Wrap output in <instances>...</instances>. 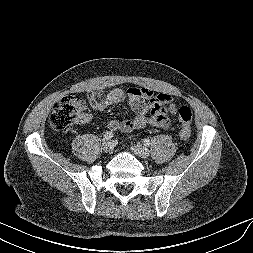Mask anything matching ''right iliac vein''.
<instances>
[{
  "label": "right iliac vein",
  "mask_w": 253,
  "mask_h": 253,
  "mask_svg": "<svg viewBox=\"0 0 253 253\" xmlns=\"http://www.w3.org/2000/svg\"><path fill=\"white\" fill-rule=\"evenodd\" d=\"M103 150L106 153H112L113 149H114V144L112 141H104L102 144Z\"/></svg>",
  "instance_id": "63e3f726"
}]
</instances>
